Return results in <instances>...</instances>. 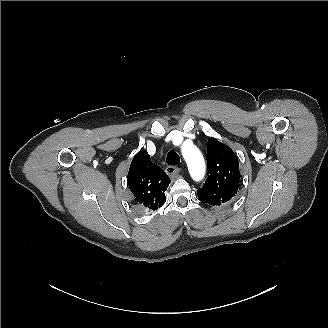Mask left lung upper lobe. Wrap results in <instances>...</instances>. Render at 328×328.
<instances>
[{"label": "left lung upper lobe", "mask_w": 328, "mask_h": 328, "mask_svg": "<svg viewBox=\"0 0 328 328\" xmlns=\"http://www.w3.org/2000/svg\"><path fill=\"white\" fill-rule=\"evenodd\" d=\"M208 178L198 189L200 201L221 206L237 193L240 178L239 163L230 147L210 137L207 150Z\"/></svg>", "instance_id": "1"}]
</instances>
